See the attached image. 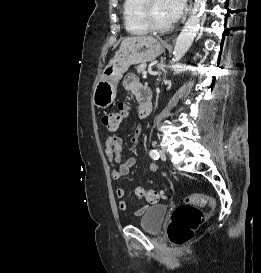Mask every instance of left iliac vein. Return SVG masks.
Returning <instances> with one entry per match:
<instances>
[{"instance_id": "left-iliac-vein-1", "label": "left iliac vein", "mask_w": 261, "mask_h": 273, "mask_svg": "<svg viewBox=\"0 0 261 273\" xmlns=\"http://www.w3.org/2000/svg\"><path fill=\"white\" fill-rule=\"evenodd\" d=\"M159 154H160V158L162 160H166L167 159V156H166V153L164 150H159Z\"/></svg>"}]
</instances>
